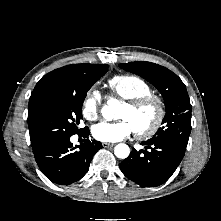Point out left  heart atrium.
<instances>
[{
  "label": "left heart atrium",
  "mask_w": 221,
  "mask_h": 221,
  "mask_svg": "<svg viewBox=\"0 0 221 221\" xmlns=\"http://www.w3.org/2000/svg\"><path fill=\"white\" fill-rule=\"evenodd\" d=\"M134 132L132 124L121 119L116 122H100L92 127V135L101 142H118Z\"/></svg>",
  "instance_id": "obj_1"
}]
</instances>
